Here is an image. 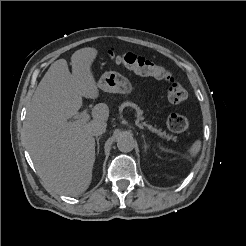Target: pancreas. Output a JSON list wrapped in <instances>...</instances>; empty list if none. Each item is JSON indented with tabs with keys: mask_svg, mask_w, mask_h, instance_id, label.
Masks as SVG:
<instances>
[{
	"mask_svg": "<svg viewBox=\"0 0 246 246\" xmlns=\"http://www.w3.org/2000/svg\"><path fill=\"white\" fill-rule=\"evenodd\" d=\"M121 107H132L136 110V113H137V116H138V119L139 120H143L144 117L142 116L143 114V111L140 109V107H138L135 103H132L130 101H126L124 102ZM143 124L145 126H151V125H147L145 124V122H143ZM152 127V126H151ZM152 132L156 133L157 135H159L160 137H163V138H166L167 140L171 139L173 136H170V135H166V132L165 131H161L159 129H156V128H153L151 129Z\"/></svg>",
	"mask_w": 246,
	"mask_h": 246,
	"instance_id": "obj_1",
	"label": "pancreas"
}]
</instances>
